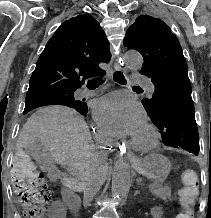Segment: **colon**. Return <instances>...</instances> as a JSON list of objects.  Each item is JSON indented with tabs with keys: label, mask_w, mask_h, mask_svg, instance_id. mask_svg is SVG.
Listing matches in <instances>:
<instances>
[{
	"label": "colon",
	"mask_w": 211,
	"mask_h": 218,
	"mask_svg": "<svg viewBox=\"0 0 211 218\" xmlns=\"http://www.w3.org/2000/svg\"><path fill=\"white\" fill-rule=\"evenodd\" d=\"M11 178L25 216L41 217L46 211L51 193L42 173L27 153L19 151L15 154ZM181 184L179 197L182 210L175 218H194V205L198 195L197 172L192 169L184 170L181 174Z\"/></svg>",
	"instance_id": "5ec220e1"
}]
</instances>
